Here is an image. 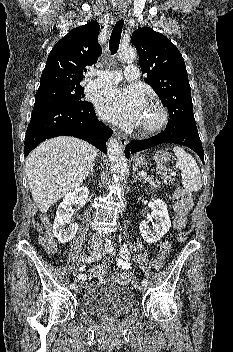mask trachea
<instances>
[{
    "label": "trachea",
    "instance_id": "3493384b",
    "mask_svg": "<svg viewBox=\"0 0 233 352\" xmlns=\"http://www.w3.org/2000/svg\"><path fill=\"white\" fill-rule=\"evenodd\" d=\"M123 25H124V20L119 19L113 28V31L111 33L110 40H109V50L111 54H115L116 51L118 50Z\"/></svg>",
    "mask_w": 233,
    "mask_h": 352
}]
</instances>
